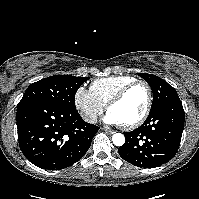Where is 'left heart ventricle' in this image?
Masks as SVG:
<instances>
[{
	"label": "left heart ventricle",
	"mask_w": 199,
	"mask_h": 199,
	"mask_svg": "<svg viewBox=\"0 0 199 199\" xmlns=\"http://www.w3.org/2000/svg\"><path fill=\"white\" fill-rule=\"evenodd\" d=\"M147 102V91L138 85L131 89L122 101L110 108V112L118 118L121 124L135 121L143 113Z\"/></svg>",
	"instance_id": "b2bd125f"
}]
</instances>
